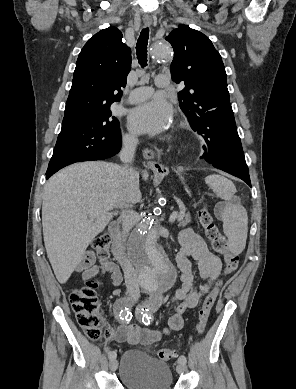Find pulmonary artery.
<instances>
[{
	"label": "pulmonary artery",
	"instance_id": "1",
	"mask_svg": "<svg viewBox=\"0 0 296 389\" xmlns=\"http://www.w3.org/2000/svg\"><path fill=\"white\" fill-rule=\"evenodd\" d=\"M155 84L159 88H165L169 84L168 77L165 75H158L155 79ZM153 94V88L143 86L131 91L128 101L130 103H138L148 99Z\"/></svg>",
	"mask_w": 296,
	"mask_h": 389
}]
</instances>
